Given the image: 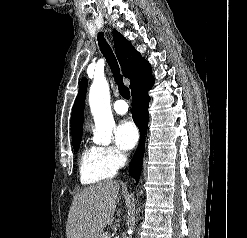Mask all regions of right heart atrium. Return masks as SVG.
Wrapping results in <instances>:
<instances>
[{
	"label": "right heart atrium",
	"instance_id": "d8ad5b80",
	"mask_svg": "<svg viewBox=\"0 0 247 238\" xmlns=\"http://www.w3.org/2000/svg\"><path fill=\"white\" fill-rule=\"evenodd\" d=\"M106 160L114 168H120L125 161L124 155L114 146L102 147Z\"/></svg>",
	"mask_w": 247,
	"mask_h": 238
}]
</instances>
